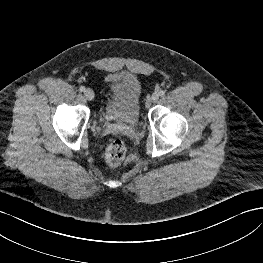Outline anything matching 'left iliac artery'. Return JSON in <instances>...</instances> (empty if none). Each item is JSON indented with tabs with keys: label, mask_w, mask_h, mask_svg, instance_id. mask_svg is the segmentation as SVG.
<instances>
[{
	"label": "left iliac artery",
	"mask_w": 263,
	"mask_h": 263,
	"mask_svg": "<svg viewBox=\"0 0 263 263\" xmlns=\"http://www.w3.org/2000/svg\"><path fill=\"white\" fill-rule=\"evenodd\" d=\"M159 95H160V96H164V95H165V91H164V90H160V91H159Z\"/></svg>",
	"instance_id": "left-iliac-artery-1"
}]
</instances>
